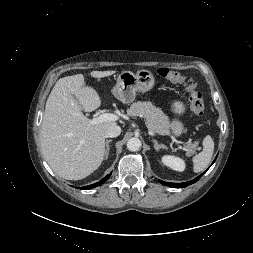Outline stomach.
Listing matches in <instances>:
<instances>
[{"mask_svg":"<svg viewBox=\"0 0 253 253\" xmlns=\"http://www.w3.org/2000/svg\"><path fill=\"white\" fill-rule=\"evenodd\" d=\"M154 85L155 78L149 70L142 69L136 74L131 71H124L118 76L112 93L121 102L129 104L135 100L136 92H148L153 89ZM171 110L176 118L170 124L169 130L175 136H180L184 132V126L178 118L185 114L187 106L181 100H173Z\"/></svg>","mask_w":253,"mask_h":253,"instance_id":"obj_1","label":"stomach"}]
</instances>
